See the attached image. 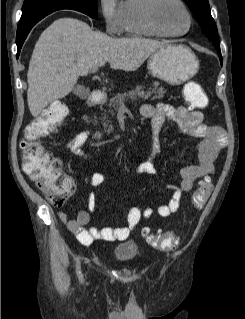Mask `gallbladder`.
Listing matches in <instances>:
<instances>
[{
  "instance_id": "bac80fb5",
  "label": "gallbladder",
  "mask_w": 245,
  "mask_h": 319,
  "mask_svg": "<svg viewBox=\"0 0 245 319\" xmlns=\"http://www.w3.org/2000/svg\"><path fill=\"white\" fill-rule=\"evenodd\" d=\"M74 94L76 96H79L81 98L86 97L88 94V91L86 90V88L82 85H78L74 88L73 90Z\"/></svg>"
}]
</instances>
